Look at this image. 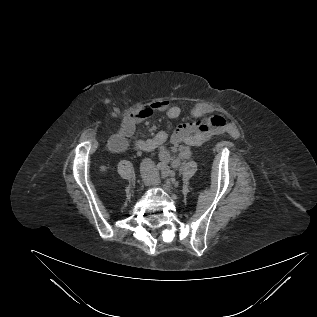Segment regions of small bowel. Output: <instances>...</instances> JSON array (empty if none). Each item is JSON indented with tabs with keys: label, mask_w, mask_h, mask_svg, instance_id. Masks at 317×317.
<instances>
[{
	"label": "small bowel",
	"mask_w": 317,
	"mask_h": 317,
	"mask_svg": "<svg viewBox=\"0 0 317 317\" xmlns=\"http://www.w3.org/2000/svg\"><path fill=\"white\" fill-rule=\"evenodd\" d=\"M151 107L164 112L170 119H177L181 115V109L166 99L153 102ZM210 112L208 104L196 103L190 110L191 121L180 124L171 135L172 151L177 153L180 160L189 159L192 154L191 147L201 146L215 134L235 131L234 127L228 124L221 115L207 116ZM136 125L134 120H125L120 130L110 137L109 149L115 153L126 150L127 139L135 133ZM168 138L169 135L165 131H160L152 138L135 140L134 149L138 152L158 149L160 159L165 163L171 158V152L163 146Z\"/></svg>",
	"instance_id": "obj_1"
}]
</instances>
